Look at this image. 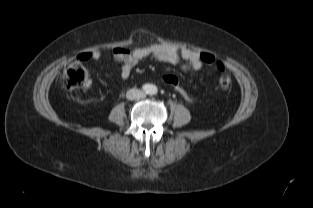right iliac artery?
<instances>
[{
  "label": "right iliac artery",
  "instance_id": "right-iliac-artery-1",
  "mask_svg": "<svg viewBox=\"0 0 313 208\" xmlns=\"http://www.w3.org/2000/svg\"><path fill=\"white\" fill-rule=\"evenodd\" d=\"M143 91L149 93L151 91V86L149 84H145L142 86Z\"/></svg>",
  "mask_w": 313,
  "mask_h": 208
}]
</instances>
